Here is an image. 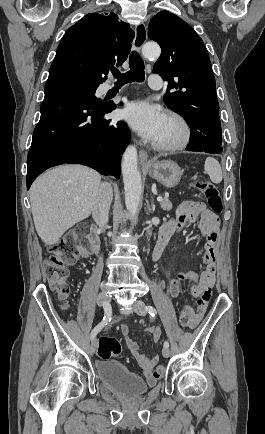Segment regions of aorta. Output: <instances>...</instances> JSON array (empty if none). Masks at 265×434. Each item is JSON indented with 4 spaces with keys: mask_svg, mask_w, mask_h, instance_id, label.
Here are the masks:
<instances>
[{
    "mask_svg": "<svg viewBox=\"0 0 265 434\" xmlns=\"http://www.w3.org/2000/svg\"><path fill=\"white\" fill-rule=\"evenodd\" d=\"M141 52L144 58H156L160 54V48L157 44H145ZM122 174L126 208L130 214L135 216L140 202L142 184L137 166V150L134 146H128L123 154Z\"/></svg>",
    "mask_w": 265,
    "mask_h": 434,
    "instance_id": "aorta-1",
    "label": "aorta"
}]
</instances>
